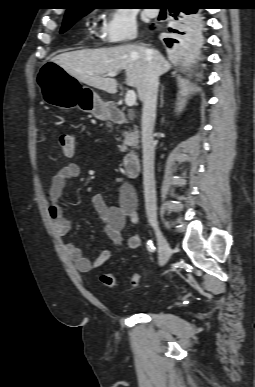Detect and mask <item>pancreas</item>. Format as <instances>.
<instances>
[{"label":"pancreas","instance_id":"obj_1","mask_svg":"<svg viewBox=\"0 0 255 387\" xmlns=\"http://www.w3.org/2000/svg\"><path fill=\"white\" fill-rule=\"evenodd\" d=\"M123 136H124L123 144L118 146L121 152H125L127 150L128 145L135 146L137 143L135 140H133L130 137V135L128 133H125Z\"/></svg>","mask_w":255,"mask_h":387}]
</instances>
